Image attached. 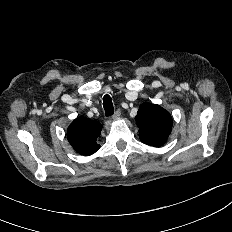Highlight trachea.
<instances>
[{
	"mask_svg": "<svg viewBox=\"0 0 232 232\" xmlns=\"http://www.w3.org/2000/svg\"><path fill=\"white\" fill-rule=\"evenodd\" d=\"M103 107L107 117L114 114V106L111 97L108 94L103 97Z\"/></svg>",
	"mask_w": 232,
	"mask_h": 232,
	"instance_id": "1",
	"label": "trachea"
}]
</instances>
